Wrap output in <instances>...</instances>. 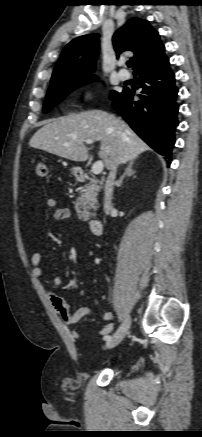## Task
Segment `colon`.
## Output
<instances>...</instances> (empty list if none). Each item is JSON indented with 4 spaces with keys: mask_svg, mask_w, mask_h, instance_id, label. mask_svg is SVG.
<instances>
[{
    "mask_svg": "<svg viewBox=\"0 0 202 437\" xmlns=\"http://www.w3.org/2000/svg\"><path fill=\"white\" fill-rule=\"evenodd\" d=\"M49 169L45 161H40L35 168V173L38 177L44 178L48 175Z\"/></svg>",
    "mask_w": 202,
    "mask_h": 437,
    "instance_id": "colon-1",
    "label": "colon"
}]
</instances>
